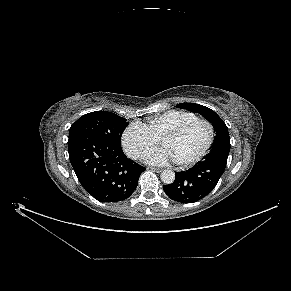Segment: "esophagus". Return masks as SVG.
<instances>
[{
	"instance_id": "obj_1",
	"label": "esophagus",
	"mask_w": 291,
	"mask_h": 291,
	"mask_svg": "<svg viewBox=\"0 0 291 291\" xmlns=\"http://www.w3.org/2000/svg\"><path fill=\"white\" fill-rule=\"evenodd\" d=\"M149 169L157 173H160L162 171L161 168H157V167H150Z\"/></svg>"
}]
</instances>
